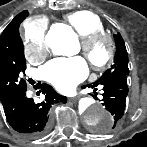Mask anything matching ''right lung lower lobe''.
<instances>
[{
	"label": "right lung lower lobe",
	"mask_w": 147,
	"mask_h": 147,
	"mask_svg": "<svg viewBox=\"0 0 147 147\" xmlns=\"http://www.w3.org/2000/svg\"><path fill=\"white\" fill-rule=\"evenodd\" d=\"M26 89L6 95L0 101L11 127L24 136L35 138L44 135L49 129L50 106L57 101L66 103L67 98L59 95L50 85L42 84L41 91L45 99L35 103L32 98L26 97Z\"/></svg>",
	"instance_id": "98d812e1"
}]
</instances>
